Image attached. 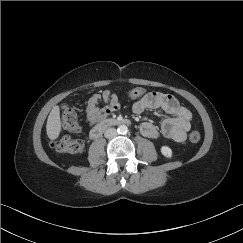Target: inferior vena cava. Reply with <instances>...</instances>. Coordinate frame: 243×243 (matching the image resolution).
Returning <instances> with one entry per match:
<instances>
[{
    "label": "inferior vena cava",
    "instance_id": "inferior-vena-cava-1",
    "mask_svg": "<svg viewBox=\"0 0 243 243\" xmlns=\"http://www.w3.org/2000/svg\"><path fill=\"white\" fill-rule=\"evenodd\" d=\"M116 135H117V131L115 128H108L104 133V136L108 139L114 138Z\"/></svg>",
    "mask_w": 243,
    "mask_h": 243
}]
</instances>
